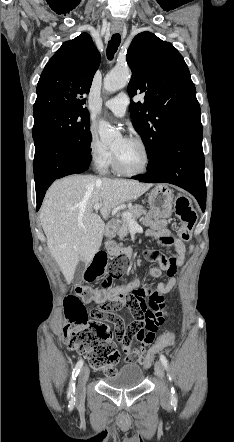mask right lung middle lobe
<instances>
[{"label": "right lung middle lobe", "instance_id": "dd1d6c3e", "mask_svg": "<svg viewBox=\"0 0 234 442\" xmlns=\"http://www.w3.org/2000/svg\"><path fill=\"white\" fill-rule=\"evenodd\" d=\"M34 141L42 137L69 141L90 153L92 136L86 109L55 110L34 116Z\"/></svg>", "mask_w": 234, "mask_h": 442}]
</instances>
